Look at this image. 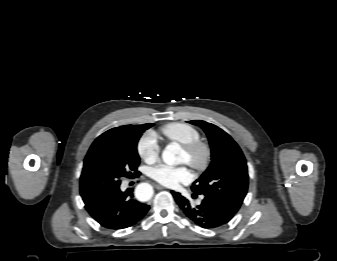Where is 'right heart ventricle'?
Instances as JSON below:
<instances>
[{"mask_svg": "<svg viewBox=\"0 0 337 261\" xmlns=\"http://www.w3.org/2000/svg\"><path fill=\"white\" fill-rule=\"evenodd\" d=\"M160 133L166 140L181 145L200 139L198 129L184 122L168 123L160 128Z\"/></svg>", "mask_w": 337, "mask_h": 261, "instance_id": "obj_1", "label": "right heart ventricle"}]
</instances>
